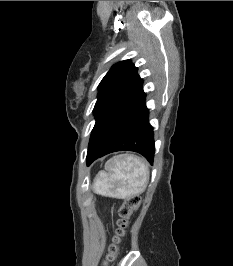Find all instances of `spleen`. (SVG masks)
<instances>
[{
    "label": "spleen",
    "instance_id": "3e777b00",
    "mask_svg": "<svg viewBox=\"0 0 233 266\" xmlns=\"http://www.w3.org/2000/svg\"><path fill=\"white\" fill-rule=\"evenodd\" d=\"M94 180V191L108 197L126 198L144 192L149 179L145 163L134 155L111 158Z\"/></svg>",
    "mask_w": 233,
    "mask_h": 266
}]
</instances>
